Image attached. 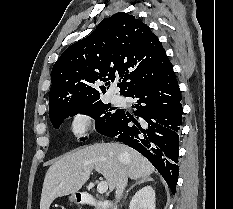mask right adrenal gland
<instances>
[{"instance_id": "right-adrenal-gland-1", "label": "right adrenal gland", "mask_w": 233, "mask_h": 209, "mask_svg": "<svg viewBox=\"0 0 233 209\" xmlns=\"http://www.w3.org/2000/svg\"><path fill=\"white\" fill-rule=\"evenodd\" d=\"M145 181H153V179L151 177H149V176H146V177H143V178L139 179L135 184H133L129 189L126 190L124 198L125 199L127 198L130 190H132L137 184H141V183H143Z\"/></svg>"}]
</instances>
